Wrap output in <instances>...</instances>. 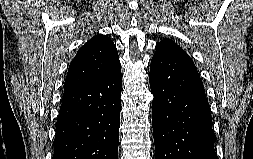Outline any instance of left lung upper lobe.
<instances>
[{"mask_svg": "<svg viewBox=\"0 0 253 159\" xmlns=\"http://www.w3.org/2000/svg\"><path fill=\"white\" fill-rule=\"evenodd\" d=\"M155 53L188 56L180 46H178L174 41L170 39H163L161 42L156 44Z\"/></svg>", "mask_w": 253, "mask_h": 159, "instance_id": "1", "label": "left lung upper lobe"}]
</instances>
